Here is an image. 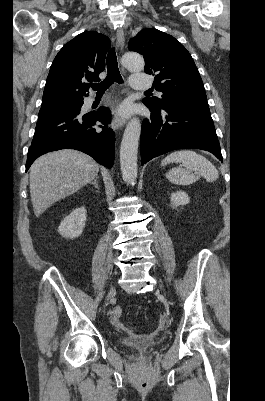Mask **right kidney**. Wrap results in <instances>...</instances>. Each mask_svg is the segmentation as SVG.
<instances>
[{"label": "right kidney", "mask_w": 265, "mask_h": 401, "mask_svg": "<svg viewBox=\"0 0 265 401\" xmlns=\"http://www.w3.org/2000/svg\"><path fill=\"white\" fill-rule=\"evenodd\" d=\"M86 215L85 207L75 209V211H72L71 215L65 217L64 221L60 223L58 233H60L62 237H67V239L79 237L86 225Z\"/></svg>", "instance_id": "right-kidney-1"}]
</instances>
